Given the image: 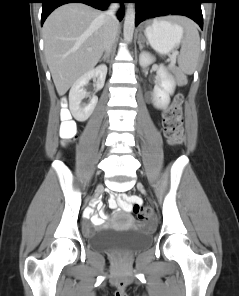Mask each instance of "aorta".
Returning a JSON list of instances; mask_svg holds the SVG:
<instances>
[{
	"label": "aorta",
	"mask_w": 239,
	"mask_h": 296,
	"mask_svg": "<svg viewBox=\"0 0 239 296\" xmlns=\"http://www.w3.org/2000/svg\"><path fill=\"white\" fill-rule=\"evenodd\" d=\"M135 14V5L133 3H130L125 13L123 29L124 40L126 43H130L133 39V33L135 28Z\"/></svg>",
	"instance_id": "obj_1"
}]
</instances>
